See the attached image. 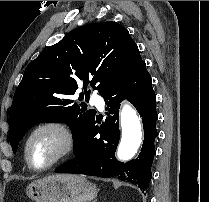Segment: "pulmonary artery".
Listing matches in <instances>:
<instances>
[{
	"instance_id": "pulmonary-artery-1",
	"label": "pulmonary artery",
	"mask_w": 209,
	"mask_h": 202,
	"mask_svg": "<svg viewBox=\"0 0 209 202\" xmlns=\"http://www.w3.org/2000/svg\"><path fill=\"white\" fill-rule=\"evenodd\" d=\"M90 104L92 106H95L99 111H102L104 109L103 99L97 94H92L90 98Z\"/></svg>"
}]
</instances>
